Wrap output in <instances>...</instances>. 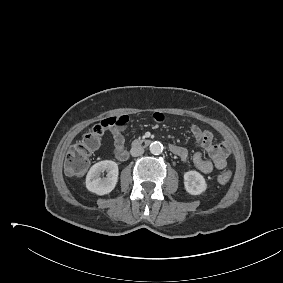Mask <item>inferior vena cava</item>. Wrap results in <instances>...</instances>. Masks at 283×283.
I'll list each match as a JSON object with an SVG mask.
<instances>
[{
  "label": "inferior vena cava",
  "instance_id": "obj_1",
  "mask_svg": "<svg viewBox=\"0 0 283 283\" xmlns=\"http://www.w3.org/2000/svg\"><path fill=\"white\" fill-rule=\"evenodd\" d=\"M130 153L133 157H137L144 153V149L141 146H133L130 150Z\"/></svg>",
  "mask_w": 283,
  "mask_h": 283
}]
</instances>
